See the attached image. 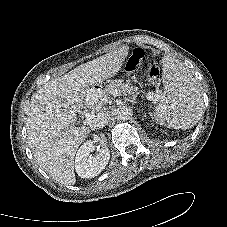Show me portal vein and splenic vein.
<instances>
[{"mask_svg":"<svg viewBox=\"0 0 227 227\" xmlns=\"http://www.w3.org/2000/svg\"><path fill=\"white\" fill-rule=\"evenodd\" d=\"M114 96H120V94L118 93V91L115 89L112 93ZM156 97L158 98V95H153V93H148V99L149 100H154L156 99ZM87 101H89L90 104L94 105V103H96L98 101L97 97L94 94L88 93L87 94ZM93 118L92 114L87 113L85 115V123H89L91 121V119Z\"/></svg>","mask_w":227,"mask_h":227,"instance_id":"obj_1","label":"portal vein and splenic vein"}]
</instances>
